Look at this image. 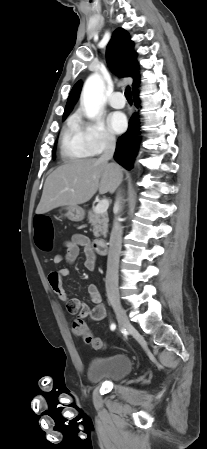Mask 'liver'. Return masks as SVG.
<instances>
[{"label": "liver", "mask_w": 207, "mask_h": 449, "mask_svg": "<svg viewBox=\"0 0 207 449\" xmlns=\"http://www.w3.org/2000/svg\"><path fill=\"white\" fill-rule=\"evenodd\" d=\"M122 180L121 168L100 159L74 160L56 168L46 179L36 214L59 206L88 202L99 190L114 193Z\"/></svg>", "instance_id": "liver-1"}]
</instances>
